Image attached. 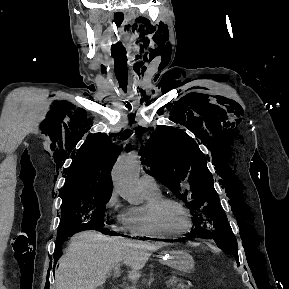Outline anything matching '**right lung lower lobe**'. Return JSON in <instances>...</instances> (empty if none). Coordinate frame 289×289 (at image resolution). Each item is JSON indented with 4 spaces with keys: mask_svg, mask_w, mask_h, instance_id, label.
<instances>
[{
    "mask_svg": "<svg viewBox=\"0 0 289 289\" xmlns=\"http://www.w3.org/2000/svg\"><path fill=\"white\" fill-rule=\"evenodd\" d=\"M109 233H110L111 235H114V234H113L112 232H110V231H109ZM66 239H67V238H66ZM66 239H64V238H57V239H56V247H55V252H54V260H55V262L58 261V258H59L60 254H61L60 247H61L63 241L66 240Z\"/></svg>",
    "mask_w": 289,
    "mask_h": 289,
    "instance_id": "obj_1",
    "label": "right lung lower lobe"
}]
</instances>
